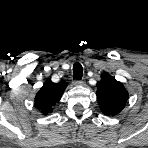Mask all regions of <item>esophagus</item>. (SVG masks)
Segmentation results:
<instances>
[{
    "label": "esophagus",
    "mask_w": 148,
    "mask_h": 148,
    "mask_svg": "<svg viewBox=\"0 0 148 148\" xmlns=\"http://www.w3.org/2000/svg\"><path fill=\"white\" fill-rule=\"evenodd\" d=\"M74 84H75V85H84L85 82H84L83 80H75V81H74Z\"/></svg>",
    "instance_id": "esophagus-1"
}]
</instances>
